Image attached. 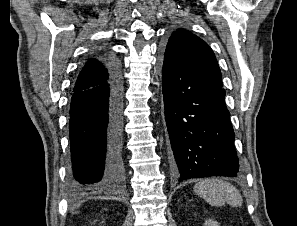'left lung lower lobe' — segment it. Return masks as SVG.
I'll list each match as a JSON object with an SVG mask.
<instances>
[{
    "mask_svg": "<svg viewBox=\"0 0 297 226\" xmlns=\"http://www.w3.org/2000/svg\"><path fill=\"white\" fill-rule=\"evenodd\" d=\"M165 120L179 181L239 177L234 131L222 87L197 90L162 72Z\"/></svg>",
    "mask_w": 297,
    "mask_h": 226,
    "instance_id": "obj_1",
    "label": "left lung lower lobe"
}]
</instances>
